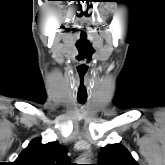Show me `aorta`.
Returning a JSON list of instances; mask_svg holds the SVG:
<instances>
[{
    "mask_svg": "<svg viewBox=\"0 0 165 165\" xmlns=\"http://www.w3.org/2000/svg\"><path fill=\"white\" fill-rule=\"evenodd\" d=\"M78 162H79V164H87V163H85L86 162V159L85 158H80L78 160Z\"/></svg>",
    "mask_w": 165,
    "mask_h": 165,
    "instance_id": "762f6f07",
    "label": "aorta"
}]
</instances>
